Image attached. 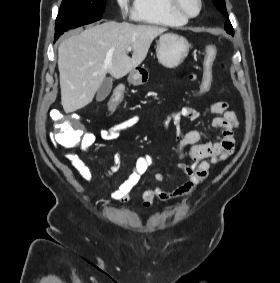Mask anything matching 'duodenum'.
Returning a JSON list of instances; mask_svg holds the SVG:
<instances>
[{
	"label": "duodenum",
	"mask_w": 280,
	"mask_h": 283,
	"mask_svg": "<svg viewBox=\"0 0 280 283\" xmlns=\"http://www.w3.org/2000/svg\"><path fill=\"white\" fill-rule=\"evenodd\" d=\"M135 79H136L137 81H139V82H141V81H142L141 76H137Z\"/></svg>",
	"instance_id": "410a0bca"
}]
</instances>
